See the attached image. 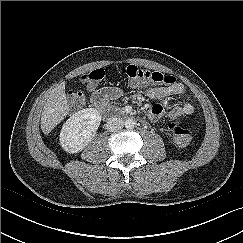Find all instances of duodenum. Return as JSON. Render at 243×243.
Segmentation results:
<instances>
[{"label": "duodenum", "mask_w": 243, "mask_h": 243, "mask_svg": "<svg viewBox=\"0 0 243 243\" xmlns=\"http://www.w3.org/2000/svg\"><path fill=\"white\" fill-rule=\"evenodd\" d=\"M106 104V101H99L97 106H103Z\"/></svg>", "instance_id": "1"}]
</instances>
